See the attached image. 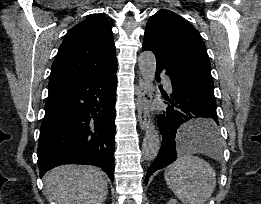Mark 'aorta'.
<instances>
[{
    "label": "aorta",
    "mask_w": 261,
    "mask_h": 204,
    "mask_svg": "<svg viewBox=\"0 0 261 204\" xmlns=\"http://www.w3.org/2000/svg\"><path fill=\"white\" fill-rule=\"evenodd\" d=\"M139 70L145 84L152 87L155 80L156 58L153 52L143 51L138 57ZM160 150V136L154 124H150L143 139L142 154L147 161L156 158Z\"/></svg>",
    "instance_id": "762f6f07"
}]
</instances>
